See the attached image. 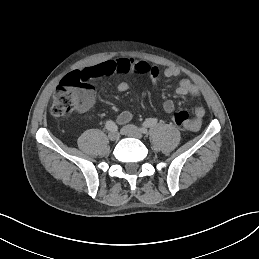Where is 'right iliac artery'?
I'll use <instances>...</instances> for the list:
<instances>
[{
    "label": "right iliac artery",
    "mask_w": 259,
    "mask_h": 259,
    "mask_svg": "<svg viewBox=\"0 0 259 259\" xmlns=\"http://www.w3.org/2000/svg\"><path fill=\"white\" fill-rule=\"evenodd\" d=\"M105 126H106V129L109 131H115L117 129L115 123L111 120L107 121Z\"/></svg>",
    "instance_id": "right-iliac-artery-1"
}]
</instances>
